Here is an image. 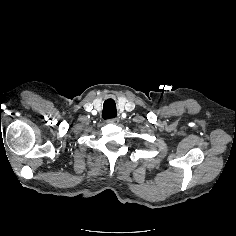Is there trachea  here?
<instances>
[{
    "mask_svg": "<svg viewBox=\"0 0 236 236\" xmlns=\"http://www.w3.org/2000/svg\"><path fill=\"white\" fill-rule=\"evenodd\" d=\"M117 116L116 103L113 99L109 98L104 102L102 117L103 119H112Z\"/></svg>",
    "mask_w": 236,
    "mask_h": 236,
    "instance_id": "1",
    "label": "trachea"
}]
</instances>
